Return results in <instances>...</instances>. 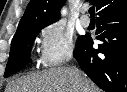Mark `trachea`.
Listing matches in <instances>:
<instances>
[{"mask_svg":"<svg viewBox=\"0 0 127 92\" xmlns=\"http://www.w3.org/2000/svg\"><path fill=\"white\" fill-rule=\"evenodd\" d=\"M94 13H95V7H90L89 8V14L91 15V17L94 16Z\"/></svg>","mask_w":127,"mask_h":92,"instance_id":"trachea-1","label":"trachea"}]
</instances>
